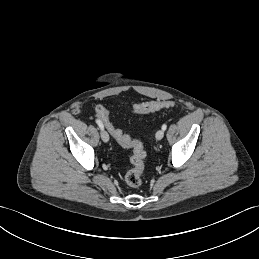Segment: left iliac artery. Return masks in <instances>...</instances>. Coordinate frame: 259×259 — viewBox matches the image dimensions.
<instances>
[{"instance_id":"1","label":"left iliac artery","mask_w":259,"mask_h":259,"mask_svg":"<svg viewBox=\"0 0 259 259\" xmlns=\"http://www.w3.org/2000/svg\"><path fill=\"white\" fill-rule=\"evenodd\" d=\"M166 128H167V125H166V124H163V125H162V130H164V131H165V130H166Z\"/></svg>"}]
</instances>
